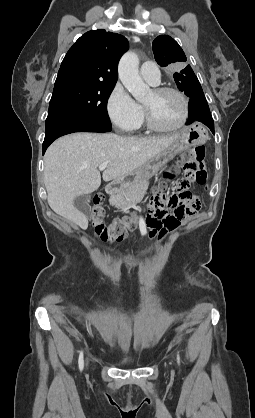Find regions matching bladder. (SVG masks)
Wrapping results in <instances>:
<instances>
[{
	"label": "bladder",
	"mask_w": 255,
	"mask_h": 418,
	"mask_svg": "<svg viewBox=\"0 0 255 418\" xmlns=\"http://www.w3.org/2000/svg\"><path fill=\"white\" fill-rule=\"evenodd\" d=\"M118 363L120 365H124V366L125 365H131V364L134 363V360L130 357H121V358L118 359Z\"/></svg>",
	"instance_id": "31cf9c89"
}]
</instances>
